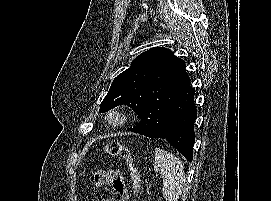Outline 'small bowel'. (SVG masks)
Listing matches in <instances>:
<instances>
[{"instance_id": "obj_1", "label": "small bowel", "mask_w": 271, "mask_h": 201, "mask_svg": "<svg viewBox=\"0 0 271 201\" xmlns=\"http://www.w3.org/2000/svg\"><path fill=\"white\" fill-rule=\"evenodd\" d=\"M97 187H111L113 194L104 201H129L127 187L122 173L118 169L100 170L94 176Z\"/></svg>"}]
</instances>
